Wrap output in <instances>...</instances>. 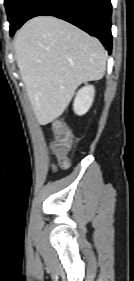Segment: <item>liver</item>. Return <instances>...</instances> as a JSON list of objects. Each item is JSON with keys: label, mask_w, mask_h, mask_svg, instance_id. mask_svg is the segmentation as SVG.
<instances>
[{"label": "liver", "mask_w": 134, "mask_h": 281, "mask_svg": "<svg viewBox=\"0 0 134 281\" xmlns=\"http://www.w3.org/2000/svg\"><path fill=\"white\" fill-rule=\"evenodd\" d=\"M14 49L41 125L62 115L79 85L103 77L108 57L97 38L51 16L27 21L15 36Z\"/></svg>", "instance_id": "obj_1"}]
</instances>
